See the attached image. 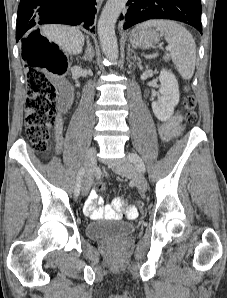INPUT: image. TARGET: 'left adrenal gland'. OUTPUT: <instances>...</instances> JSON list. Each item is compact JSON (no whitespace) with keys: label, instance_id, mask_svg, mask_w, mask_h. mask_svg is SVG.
<instances>
[{"label":"left adrenal gland","instance_id":"left-adrenal-gland-1","mask_svg":"<svg viewBox=\"0 0 227 298\" xmlns=\"http://www.w3.org/2000/svg\"><path fill=\"white\" fill-rule=\"evenodd\" d=\"M133 53V56H132ZM128 55L131 59H138L140 60L137 55L135 54L134 50L130 48V45H128Z\"/></svg>","mask_w":227,"mask_h":298}]
</instances>
